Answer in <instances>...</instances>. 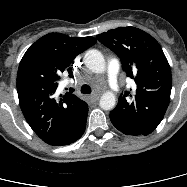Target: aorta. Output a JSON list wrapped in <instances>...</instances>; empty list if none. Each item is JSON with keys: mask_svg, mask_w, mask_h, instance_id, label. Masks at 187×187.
<instances>
[{"mask_svg": "<svg viewBox=\"0 0 187 187\" xmlns=\"http://www.w3.org/2000/svg\"><path fill=\"white\" fill-rule=\"evenodd\" d=\"M86 67L94 73H103L106 68L105 59L102 53L96 49L88 50L84 55ZM116 105V97L113 92L104 93L99 101V106L103 110H112Z\"/></svg>", "mask_w": 187, "mask_h": 187, "instance_id": "1", "label": "aorta"}]
</instances>
